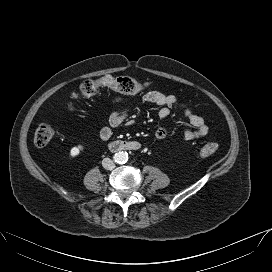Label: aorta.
I'll use <instances>...</instances> for the list:
<instances>
[{"label":"aorta","instance_id":"obj_1","mask_svg":"<svg viewBox=\"0 0 272 272\" xmlns=\"http://www.w3.org/2000/svg\"><path fill=\"white\" fill-rule=\"evenodd\" d=\"M114 159L119 164L126 163L128 160V153L124 151H119L114 155Z\"/></svg>","mask_w":272,"mask_h":272}]
</instances>
